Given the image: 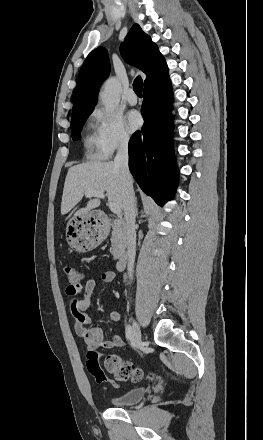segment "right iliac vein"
<instances>
[{
  "label": "right iliac vein",
  "instance_id": "right-iliac-vein-1",
  "mask_svg": "<svg viewBox=\"0 0 263 440\" xmlns=\"http://www.w3.org/2000/svg\"><path fill=\"white\" fill-rule=\"evenodd\" d=\"M132 340L136 347L141 345V330L139 324L135 321L132 326Z\"/></svg>",
  "mask_w": 263,
  "mask_h": 440
}]
</instances>
